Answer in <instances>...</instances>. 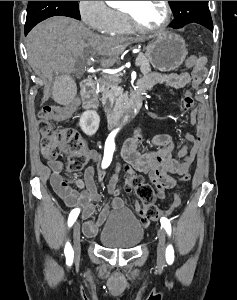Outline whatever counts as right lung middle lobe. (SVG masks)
Instances as JSON below:
<instances>
[{
	"label": "right lung middle lobe",
	"mask_w": 237,
	"mask_h": 300,
	"mask_svg": "<svg viewBox=\"0 0 237 300\" xmlns=\"http://www.w3.org/2000/svg\"><path fill=\"white\" fill-rule=\"evenodd\" d=\"M78 1H29L25 26L34 27L52 16H68L80 19Z\"/></svg>",
	"instance_id": "obj_1"
}]
</instances>
